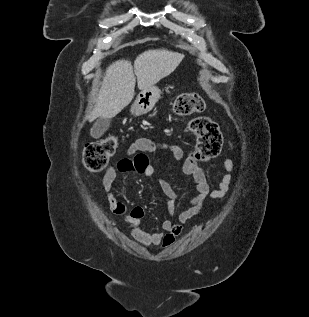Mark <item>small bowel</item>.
<instances>
[{
  "label": "small bowel",
  "instance_id": "c3829d8e",
  "mask_svg": "<svg viewBox=\"0 0 309 317\" xmlns=\"http://www.w3.org/2000/svg\"><path fill=\"white\" fill-rule=\"evenodd\" d=\"M233 146V144H231ZM159 150L167 151V154L150 159L148 153ZM184 151L177 145L156 141L150 138H139L132 142L127 149V156L118 162L117 169L109 167L102 180V185L111 211L124 216L133 238L144 246H158L161 248L170 247L176 238L182 233L183 225L190 219L196 217L202 210L207 198L218 200L224 198L230 190L232 183V172L234 163L231 159H224L220 167L225 173L220 178L217 187L211 188L204 171L198 166L194 151H190L183 163V172L192 177L196 187V194L190 199V207L178 215V222L165 219L161 223V231L150 233L145 231L140 223L144 217L142 207L127 209L126 205L117 199L114 183L119 172H133L145 177L156 175V167L166 159L180 161L183 159ZM163 196L168 204V214L173 215L172 204L177 200L178 195L165 179L159 180Z\"/></svg>",
  "mask_w": 309,
  "mask_h": 317
}]
</instances>
